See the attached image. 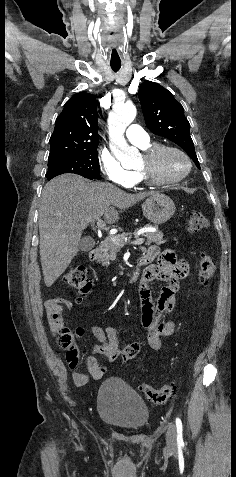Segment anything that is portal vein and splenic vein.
Returning <instances> with one entry per match:
<instances>
[{"mask_svg": "<svg viewBox=\"0 0 236 477\" xmlns=\"http://www.w3.org/2000/svg\"><path fill=\"white\" fill-rule=\"evenodd\" d=\"M97 226L100 229H105L106 230V225L102 220H98ZM109 238L116 244L124 246V240L120 239L119 237L115 235H110ZM144 242V238H137L136 240L132 241L131 244L133 245H141Z\"/></svg>", "mask_w": 236, "mask_h": 477, "instance_id": "obj_1", "label": "portal vein and splenic vein"}]
</instances>
